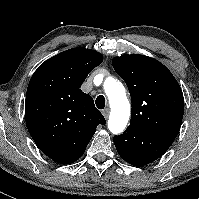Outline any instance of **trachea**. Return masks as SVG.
Masks as SVG:
<instances>
[{"label": "trachea", "instance_id": "1", "mask_svg": "<svg viewBox=\"0 0 199 199\" xmlns=\"http://www.w3.org/2000/svg\"><path fill=\"white\" fill-rule=\"evenodd\" d=\"M96 106L97 108L99 109H104L105 107V98L103 95H99L97 98H96Z\"/></svg>", "mask_w": 199, "mask_h": 199}]
</instances>
